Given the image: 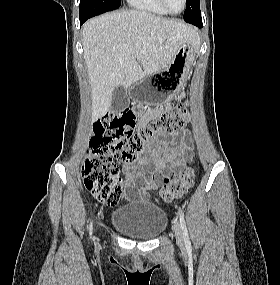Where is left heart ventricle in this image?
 <instances>
[{
	"instance_id": "left-heart-ventricle-1",
	"label": "left heart ventricle",
	"mask_w": 280,
	"mask_h": 285,
	"mask_svg": "<svg viewBox=\"0 0 280 285\" xmlns=\"http://www.w3.org/2000/svg\"><path fill=\"white\" fill-rule=\"evenodd\" d=\"M167 3L173 12H179L183 7V0H167Z\"/></svg>"
}]
</instances>
